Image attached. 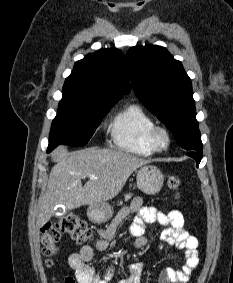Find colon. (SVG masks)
Segmentation results:
<instances>
[{
    "label": "colon",
    "mask_w": 233,
    "mask_h": 283,
    "mask_svg": "<svg viewBox=\"0 0 233 283\" xmlns=\"http://www.w3.org/2000/svg\"><path fill=\"white\" fill-rule=\"evenodd\" d=\"M167 185L170 190L177 192L181 187V180L175 176H169ZM64 234L71 236L78 244H86L93 237L91 228L72 214L47 222L41 229V243L48 265L52 264L51 258L56 254L58 250L57 245ZM57 283H75V280L72 277H66Z\"/></svg>",
    "instance_id": "5ec220e1"
}]
</instances>
